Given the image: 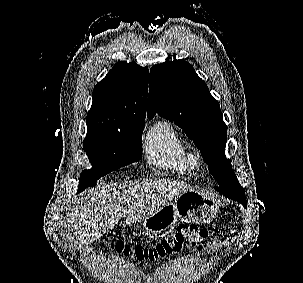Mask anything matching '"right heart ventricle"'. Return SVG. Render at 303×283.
I'll return each mask as SVG.
<instances>
[{"label":"right heart ventricle","mask_w":303,"mask_h":283,"mask_svg":"<svg viewBox=\"0 0 303 283\" xmlns=\"http://www.w3.org/2000/svg\"><path fill=\"white\" fill-rule=\"evenodd\" d=\"M145 152L150 164L185 176L190 171L188 146L179 131L168 121L150 127L145 137Z\"/></svg>","instance_id":"1"}]
</instances>
